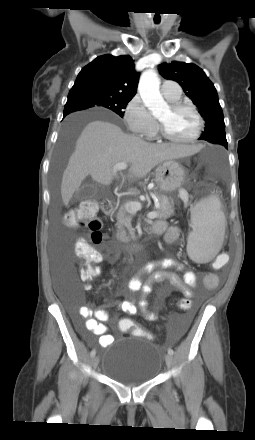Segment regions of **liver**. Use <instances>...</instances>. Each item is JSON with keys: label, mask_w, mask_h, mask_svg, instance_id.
<instances>
[{"label": "liver", "mask_w": 255, "mask_h": 440, "mask_svg": "<svg viewBox=\"0 0 255 440\" xmlns=\"http://www.w3.org/2000/svg\"><path fill=\"white\" fill-rule=\"evenodd\" d=\"M201 145L152 144L125 134L117 125L95 120L88 123L76 141L61 183L63 203L68 205L82 181L90 175L102 185H109L117 176V163L130 164V179L145 177L154 167L167 160L191 156Z\"/></svg>", "instance_id": "6515ba94"}]
</instances>
